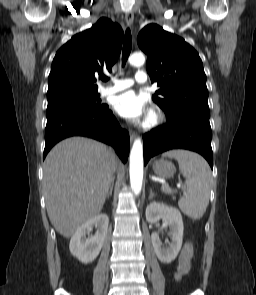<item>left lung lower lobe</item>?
I'll list each match as a JSON object with an SVG mask.
<instances>
[{
  "instance_id": "left-lung-lower-lobe-1",
  "label": "left lung lower lobe",
  "mask_w": 256,
  "mask_h": 295,
  "mask_svg": "<svg viewBox=\"0 0 256 295\" xmlns=\"http://www.w3.org/2000/svg\"><path fill=\"white\" fill-rule=\"evenodd\" d=\"M144 164L159 153L172 149H187L198 152L213 168L211 126L209 117L183 113L166 119V123L143 136Z\"/></svg>"
}]
</instances>
